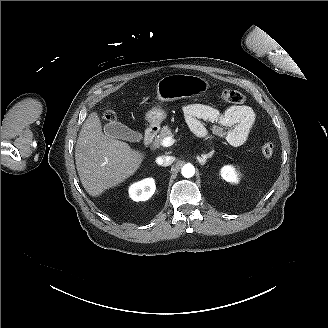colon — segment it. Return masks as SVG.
Wrapping results in <instances>:
<instances>
[{
    "label": "colon",
    "instance_id": "1",
    "mask_svg": "<svg viewBox=\"0 0 328 328\" xmlns=\"http://www.w3.org/2000/svg\"><path fill=\"white\" fill-rule=\"evenodd\" d=\"M221 98L225 103L228 104H241L244 101V96L237 90L225 89L221 93ZM115 117L113 111H106L104 114V119L106 121H111ZM261 153L263 157L270 158L274 153V144L270 141L264 142L261 146Z\"/></svg>",
    "mask_w": 328,
    "mask_h": 328
}]
</instances>
